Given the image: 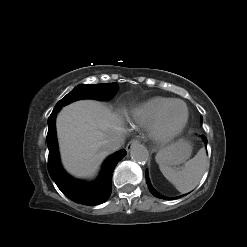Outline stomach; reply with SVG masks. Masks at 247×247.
<instances>
[{"label":"stomach","mask_w":247,"mask_h":247,"mask_svg":"<svg viewBox=\"0 0 247 247\" xmlns=\"http://www.w3.org/2000/svg\"><path fill=\"white\" fill-rule=\"evenodd\" d=\"M191 152V143L182 139L161 150L159 161L167 166L178 165L185 162L190 157Z\"/></svg>","instance_id":"0dacf381"}]
</instances>
